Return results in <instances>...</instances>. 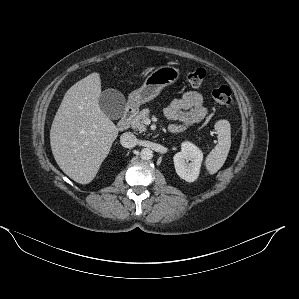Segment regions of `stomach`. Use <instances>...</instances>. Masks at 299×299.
I'll return each mask as SVG.
<instances>
[{
  "mask_svg": "<svg viewBox=\"0 0 299 299\" xmlns=\"http://www.w3.org/2000/svg\"><path fill=\"white\" fill-rule=\"evenodd\" d=\"M179 78V69L171 65L156 68L139 89L130 93V106L137 109L140 105L153 100L165 87L174 84Z\"/></svg>",
  "mask_w": 299,
  "mask_h": 299,
  "instance_id": "1",
  "label": "stomach"
}]
</instances>
